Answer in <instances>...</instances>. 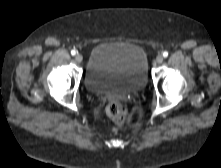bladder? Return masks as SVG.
<instances>
[{
  "label": "bladder",
  "mask_w": 221,
  "mask_h": 168,
  "mask_svg": "<svg viewBox=\"0 0 221 168\" xmlns=\"http://www.w3.org/2000/svg\"><path fill=\"white\" fill-rule=\"evenodd\" d=\"M148 81L145 50L132 43H102L90 52L85 86L97 94L126 96L142 90Z\"/></svg>",
  "instance_id": "bladder-1"
}]
</instances>
